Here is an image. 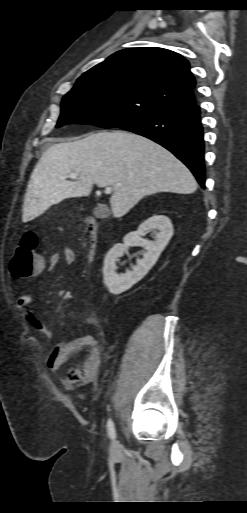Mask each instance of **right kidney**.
<instances>
[{"label":"right kidney","mask_w":247,"mask_h":513,"mask_svg":"<svg viewBox=\"0 0 247 513\" xmlns=\"http://www.w3.org/2000/svg\"><path fill=\"white\" fill-rule=\"evenodd\" d=\"M148 232H152L153 241L142 238ZM173 232L172 222L167 216L154 215L145 220L137 231L128 233L123 239V244L114 245L106 255L103 267L104 284L110 293L120 294L140 281L156 263ZM132 245L141 246L146 250L143 259L137 261L132 271L118 275L115 272L116 261Z\"/></svg>","instance_id":"obj_1"}]
</instances>
